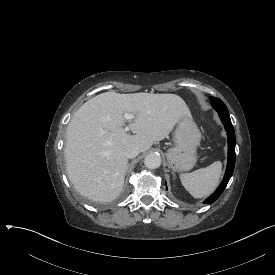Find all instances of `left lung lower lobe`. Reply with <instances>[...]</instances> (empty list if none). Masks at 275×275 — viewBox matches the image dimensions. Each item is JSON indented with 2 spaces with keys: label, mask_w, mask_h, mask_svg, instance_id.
<instances>
[{
  "label": "left lung lower lobe",
  "mask_w": 275,
  "mask_h": 275,
  "mask_svg": "<svg viewBox=\"0 0 275 275\" xmlns=\"http://www.w3.org/2000/svg\"><path fill=\"white\" fill-rule=\"evenodd\" d=\"M218 113H219L220 119H221L222 123L224 124V127L227 131L228 162H227V169H226L223 181L221 182L219 187L216 189V191L204 201V203H206V204H211V203L215 202L220 197V195L224 191L225 187L227 186V183L229 182V180L232 176L234 166H235V132H234V128L231 124L229 114L222 113V112H218Z\"/></svg>",
  "instance_id": "0a47b994"
}]
</instances>
